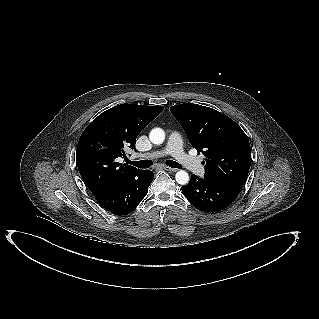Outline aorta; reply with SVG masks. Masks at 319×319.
Masks as SVG:
<instances>
[{"label": "aorta", "mask_w": 319, "mask_h": 319, "mask_svg": "<svg viewBox=\"0 0 319 319\" xmlns=\"http://www.w3.org/2000/svg\"><path fill=\"white\" fill-rule=\"evenodd\" d=\"M149 139L153 144H162L165 140V132L161 128H154L149 134ZM176 182L180 185H186L189 182V175L186 171L180 170L175 175Z\"/></svg>", "instance_id": "762f6f07"}]
</instances>
